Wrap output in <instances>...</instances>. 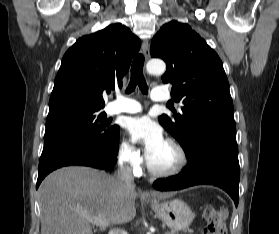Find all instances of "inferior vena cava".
<instances>
[{"label":"inferior vena cava","mask_w":279,"mask_h":234,"mask_svg":"<svg viewBox=\"0 0 279 234\" xmlns=\"http://www.w3.org/2000/svg\"><path fill=\"white\" fill-rule=\"evenodd\" d=\"M117 177L120 181L124 182L127 186L134 187V177L132 175V169L123 163L118 168ZM108 234H128L126 231L114 228L111 229Z\"/></svg>","instance_id":"inferior-vena-cava-1"}]
</instances>
